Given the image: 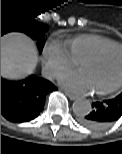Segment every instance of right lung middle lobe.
Instances as JSON below:
<instances>
[{
    "instance_id": "obj_1",
    "label": "right lung middle lobe",
    "mask_w": 122,
    "mask_h": 154,
    "mask_svg": "<svg viewBox=\"0 0 122 154\" xmlns=\"http://www.w3.org/2000/svg\"><path fill=\"white\" fill-rule=\"evenodd\" d=\"M21 32L36 40L40 52L45 44L47 27L30 17H18L1 25V36L8 32Z\"/></svg>"
}]
</instances>
